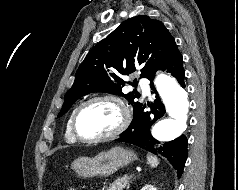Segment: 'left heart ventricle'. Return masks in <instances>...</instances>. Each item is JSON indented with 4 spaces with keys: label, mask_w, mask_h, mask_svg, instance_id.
I'll return each instance as SVG.
<instances>
[{
    "label": "left heart ventricle",
    "mask_w": 238,
    "mask_h": 190,
    "mask_svg": "<svg viewBox=\"0 0 238 190\" xmlns=\"http://www.w3.org/2000/svg\"><path fill=\"white\" fill-rule=\"evenodd\" d=\"M120 120V111L114 103L100 101L86 106L80 112L77 127L81 135L97 137L113 131Z\"/></svg>",
    "instance_id": "left-heart-ventricle-1"
}]
</instances>
